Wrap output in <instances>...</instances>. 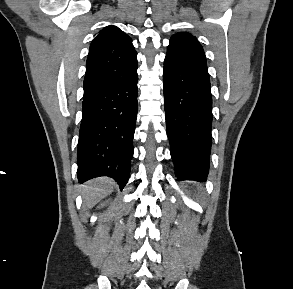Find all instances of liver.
<instances>
[{"instance_id":"6515ba94","label":"liver","mask_w":293,"mask_h":289,"mask_svg":"<svg viewBox=\"0 0 293 289\" xmlns=\"http://www.w3.org/2000/svg\"><path fill=\"white\" fill-rule=\"evenodd\" d=\"M115 187V182L110 178H96L82 186L81 194L84 206L93 207L96 203L109 195Z\"/></svg>"}]
</instances>
